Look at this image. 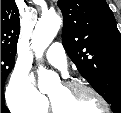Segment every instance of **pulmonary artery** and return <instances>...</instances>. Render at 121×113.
Segmentation results:
<instances>
[{"label": "pulmonary artery", "mask_w": 121, "mask_h": 113, "mask_svg": "<svg viewBox=\"0 0 121 113\" xmlns=\"http://www.w3.org/2000/svg\"><path fill=\"white\" fill-rule=\"evenodd\" d=\"M45 57L48 63H50L52 66L59 69L60 71L66 73L68 62L66 53L61 44H52L46 51Z\"/></svg>", "instance_id": "e3ab8cb5"}]
</instances>
